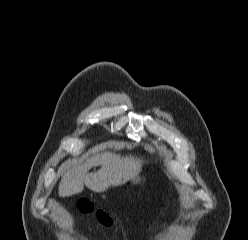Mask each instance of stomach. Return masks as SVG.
<instances>
[{
  "mask_svg": "<svg viewBox=\"0 0 248 240\" xmlns=\"http://www.w3.org/2000/svg\"><path fill=\"white\" fill-rule=\"evenodd\" d=\"M142 180H144V179L141 178L140 176H136V177L132 178V183L133 184H139Z\"/></svg>",
  "mask_w": 248,
  "mask_h": 240,
  "instance_id": "obj_1",
  "label": "stomach"
}]
</instances>
